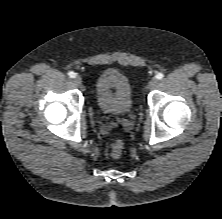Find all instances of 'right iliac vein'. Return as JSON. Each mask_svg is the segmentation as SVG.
Instances as JSON below:
<instances>
[{
    "instance_id": "63e3f726",
    "label": "right iliac vein",
    "mask_w": 222,
    "mask_h": 219,
    "mask_svg": "<svg viewBox=\"0 0 222 219\" xmlns=\"http://www.w3.org/2000/svg\"><path fill=\"white\" fill-rule=\"evenodd\" d=\"M73 83L76 85V86H80L82 84V78L80 76H76L74 79H73Z\"/></svg>"
}]
</instances>
